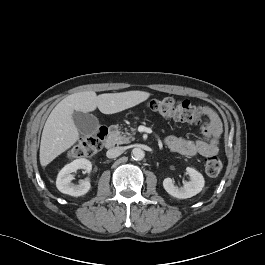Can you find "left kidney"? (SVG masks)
Here are the masks:
<instances>
[{
    "label": "left kidney",
    "mask_w": 265,
    "mask_h": 265,
    "mask_svg": "<svg viewBox=\"0 0 265 265\" xmlns=\"http://www.w3.org/2000/svg\"><path fill=\"white\" fill-rule=\"evenodd\" d=\"M186 171L190 176V181L184 182L183 187L174 185V181L171 178H165L163 181V187L173 197L178 199L191 198L202 191L205 180L203 175L194 168L187 167Z\"/></svg>",
    "instance_id": "1"
}]
</instances>
